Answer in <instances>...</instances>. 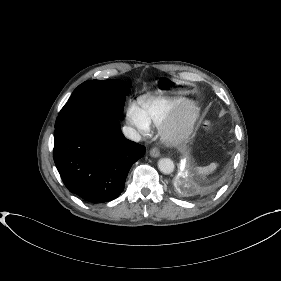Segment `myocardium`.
<instances>
[{
	"label": "myocardium",
	"mask_w": 281,
	"mask_h": 281,
	"mask_svg": "<svg viewBox=\"0 0 281 281\" xmlns=\"http://www.w3.org/2000/svg\"><path fill=\"white\" fill-rule=\"evenodd\" d=\"M201 113L199 104L194 100H185L161 124L162 141L175 146L183 142L193 131Z\"/></svg>",
	"instance_id": "myocardium-1"
}]
</instances>
